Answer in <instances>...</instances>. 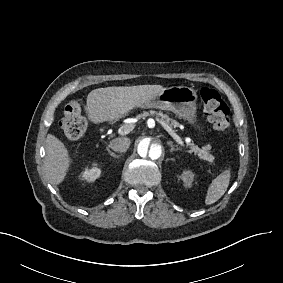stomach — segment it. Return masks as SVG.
I'll return each mask as SVG.
<instances>
[{
    "instance_id": "obj_1",
    "label": "stomach",
    "mask_w": 283,
    "mask_h": 283,
    "mask_svg": "<svg viewBox=\"0 0 283 283\" xmlns=\"http://www.w3.org/2000/svg\"><path fill=\"white\" fill-rule=\"evenodd\" d=\"M197 92L187 86H172L163 90L153 99L143 103L141 108H156L172 111L189 123L196 121Z\"/></svg>"
}]
</instances>
